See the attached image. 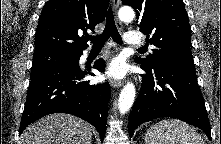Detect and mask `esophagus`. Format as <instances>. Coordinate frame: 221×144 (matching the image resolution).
Wrapping results in <instances>:
<instances>
[{"label": "esophagus", "instance_id": "34e87169", "mask_svg": "<svg viewBox=\"0 0 221 144\" xmlns=\"http://www.w3.org/2000/svg\"><path fill=\"white\" fill-rule=\"evenodd\" d=\"M112 2H113V8L116 12L119 7L120 0H112ZM116 25H117L118 29H120V30L122 29V23L118 20V18H116ZM110 84L113 88H119L124 84V81L111 79Z\"/></svg>", "mask_w": 221, "mask_h": 144}]
</instances>
